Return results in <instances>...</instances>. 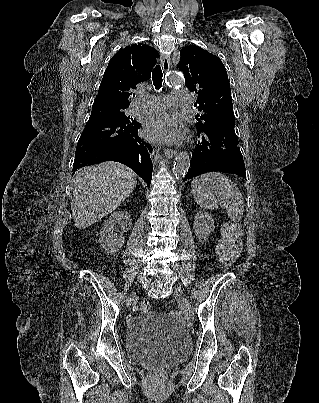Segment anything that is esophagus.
Wrapping results in <instances>:
<instances>
[{
    "instance_id": "1",
    "label": "esophagus",
    "mask_w": 319,
    "mask_h": 403,
    "mask_svg": "<svg viewBox=\"0 0 319 403\" xmlns=\"http://www.w3.org/2000/svg\"><path fill=\"white\" fill-rule=\"evenodd\" d=\"M160 60L163 71L167 72L170 69V56L167 54H161ZM164 154L168 158H173L176 154V151L173 149H165Z\"/></svg>"
}]
</instances>
